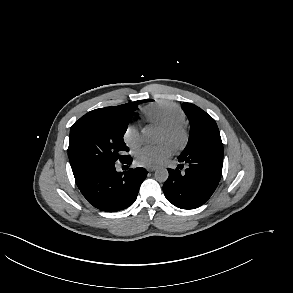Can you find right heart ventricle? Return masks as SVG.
I'll list each match as a JSON object with an SVG mask.
<instances>
[{"label": "right heart ventricle", "mask_w": 293, "mask_h": 293, "mask_svg": "<svg viewBox=\"0 0 293 293\" xmlns=\"http://www.w3.org/2000/svg\"><path fill=\"white\" fill-rule=\"evenodd\" d=\"M143 115L147 122L160 127L182 123L185 120V114L181 108L170 102L150 105L143 110Z\"/></svg>", "instance_id": "obj_1"}]
</instances>
